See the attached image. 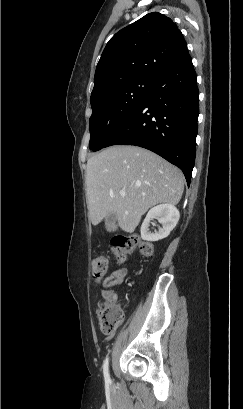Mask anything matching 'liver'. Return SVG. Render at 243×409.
Instances as JSON below:
<instances>
[{
  "mask_svg": "<svg viewBox=\"0 0 243 409\" xmlns=\"http://www.w3.org/2000/svg\"><path fill=\"white\" fill-rule=\"evenodd\" d=\"M183 190L182 171L140 147L111 146L87 161L86 196L95 226L115 214L120 228L133 233L149 208L178 204Z\"/></svg>",
  "mask_w": 243,
  "mask_h": 409,
  "instance_id": "obj_1",
  "label": "liver"
}]
</instances>
